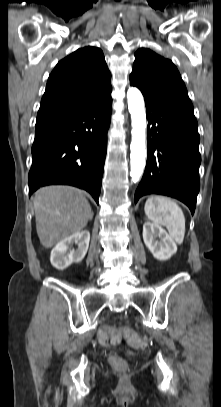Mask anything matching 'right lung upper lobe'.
<instances>
[{"mask_svg": "<svg viewBox=\"0 0 221 407\" xmlns=\"http://www.w3.org/2000/svg\"><path fill=\"white\" fill-rule=\"evenodd\" d=\"M111 74L99 48H80L61 60L49 76L37 121L77 112L111 96Z\"/></svg>", "mask_w": 221, "mask_h": 407, "instance_id": "1", "label": "right lung upper lobe"}]
</instances>
